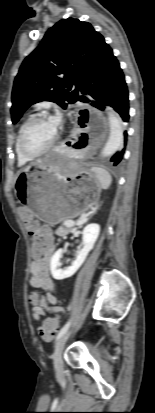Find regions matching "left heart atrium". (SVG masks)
Listing matches in <instances>:
<instances>
[{"label": "left heart atrium", "mask_w": 155, "mask_h": 413, "mask_svg": "<svg viewBox=\"0 0 155 413\" xmlns=\"http://www.w3.org/2000/svg\"><path fill=\"white\" fill-rule=\"evenodd\" d=\"M51 122H52L53 126H54L56 129H58V127H59V125H60V122H61V117H60L59 113H57L55 116H53V117L51 118Z\"/></svg>", "instance_id": "1"}]
</instances>
